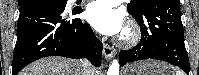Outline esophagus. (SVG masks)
<instances>
[{
    "instance_id": "34e87169",
    "label": "esophagus",
    "mask_w": 199,
    "mask_h": 75,
    "mask_svg": "<svg viewBox=\"0 0 199 75\" xmlns=\"http://www.w3.org/2000/svg\"><path fill=\"white\" fill-rule=\"evenodd\" d=\"M103 53L106 60H111L116 55V50L106 42H103Z\"/></svg>"
}]
</instances>
